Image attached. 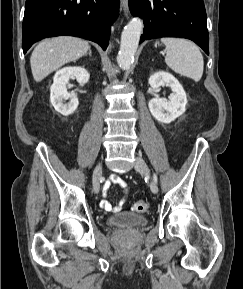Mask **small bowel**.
Segmentation results:
<instances>
[{
  "mask_svg": "<svg viewBox=\"0 0 243 289\" xmlns=\"http://www.w3.org/2000/svg\"><path fill=\"white\" fill-rule=\"evenodd\" d=\"M111 184L118 185L123 190L124 197L116 205H112L107 200H102L100 203V206H101V208H103L107 212H119V211L123 210V208L125 207L126 196L129 193V186L119 176L112 175L104 185V195L105 196H106V193H107L109 187L111 186Z\"/></svg>",
  "mask_w": 243,
  "mask_h": 289,
  "instance_id": "1",
  "label": "small bowel"
}]
</instances>
